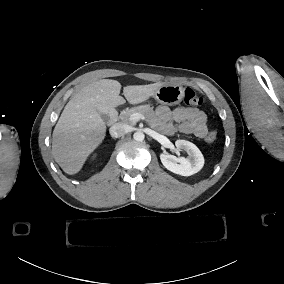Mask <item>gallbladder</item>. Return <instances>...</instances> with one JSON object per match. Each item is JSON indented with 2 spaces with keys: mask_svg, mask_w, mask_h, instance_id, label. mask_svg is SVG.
<instances>
[{
  "mask_svg": "<svg viewBox=\"0 0 284 284\" xmlns=\"http://www.w3.org/2000/svg\"><path fill=\"white\" fill-rule=\"evenodd\" d=\"M100 116H101V118H102V120L104 122H108L109 121V116L107 114L100 113Z\"/></svg>",
  "mask_w": 284,
  "mask_h": 284,
  "instance_id": "1",
  "label": "gallbladder"
}]
</instances>
